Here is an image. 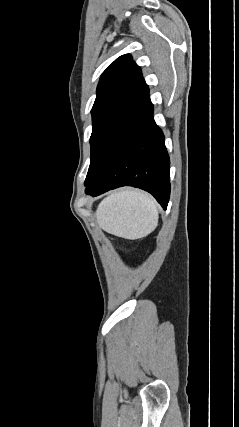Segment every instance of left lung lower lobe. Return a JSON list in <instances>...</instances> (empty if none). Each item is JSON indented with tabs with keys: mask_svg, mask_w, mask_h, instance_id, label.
<instances>
[{
	"mask_svg": "<svg viewBox=\"0 0 239 427\" xmlns=\"http://www.w3.org/2000/svg\"><path fill=\"white\" fill-rule=\"evenodd\" d=\"M170 161L164 135L147 103L110 140L94 166L85 193L97 196L133 186L151 193L166 209L170 196Z\"/></svg>",
	"mask_w": 239,
	"mask_h": 427,
	"instance_id": "obj_1",
	"label": "left lung lower lobe"
}]
</instances>
